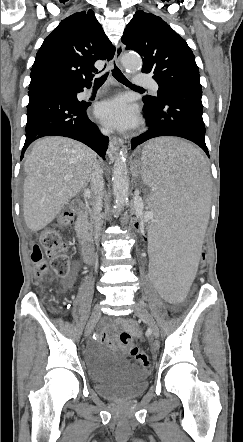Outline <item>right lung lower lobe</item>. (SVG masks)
<instances>
[{"instance_id":"98d812e1","label":"right lung lower lobe","mask_w":243,"mask_h":442,"mask_svg":"<svg viewBox=\"0 0 243 442\" xmlns=\"http://www.w3.org/2000/svg\"><path fill=\"white\" fill-rule=\"evenodd\" d=\"M83 88L46 84L29 89L26 141L21 159L34 140L51 135L78 140L105 159L109 139L89 120L86 111L90 104L77 99Z\"/></svg>"}]
</instances>
